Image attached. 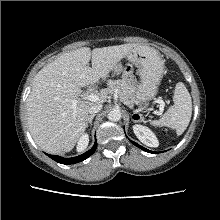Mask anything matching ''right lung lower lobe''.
Segmentation results:
<instances>
[{"label": "right lung lower lobe", "instance_id": "right-lung-lower-lobe-1", "mask_svg": "<svg viewBox=\"0 0 220 220\" xmlns=\"http://www.w3.org/2000/svg\"><path fill=\"white\" fill-rule=\"evenodd\" d=\"M96 147H97V141H95L94 146L89 151H87L86 153H84L80 156L73 157V158H62V157L57 156V155H49V154H47V155L51 159L55 160L58 163H61V164H74V163L81 162V161L87 159L89 156H91L95 152Z\"/></svg>", "mask_w": 220, "mask_h": 220}]
</instances>
